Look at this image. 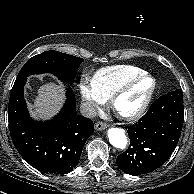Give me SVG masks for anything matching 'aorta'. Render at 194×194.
<instances>
[{"label":"aorta","instance_id":"1","mask_svg":"<svg viewBox=\"0 0 194 194\" xmlns=\"http://www.w3.org/2000/svg\"><path fill=\"white\" fill-rule=\"evenodd\" d=\"M107 134H108L109 142L112 146L119 149H125L128 140H127L125 131L123 129L110 128Z\"/></svg>","mask_w":194,"mask_h":194}]
</instances>
